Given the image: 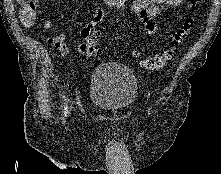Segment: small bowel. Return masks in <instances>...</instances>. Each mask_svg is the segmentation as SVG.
Masks as SVG:
<instances>
[{"mask_svg": "<svg viewBox=\"0 0 221 174\" xmlns=\"http://www.w3.org/2000/svg\"><path fill=\"white\" fill-rule=\"evenodd\" d=\"M182 2L183 0H134L130 6V12L139 18L145 33L154 35L158 31V25L155 19L163 11L175 8L181 5ZM104 16V9L98 7L92 19L83 27L82 31H92L96 25L103 20ZM42 23L47 41L60 52L63 58H68V48L65 44L66 34H53L52 31L55 29V25L46 19H44ZM78 51L81 53L80 49Z\"/></svg>", "mask_w": 221, "mask_h": 174, "instance_id": "c3829d8e", "label": "small bowel"}]
</instances>
